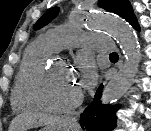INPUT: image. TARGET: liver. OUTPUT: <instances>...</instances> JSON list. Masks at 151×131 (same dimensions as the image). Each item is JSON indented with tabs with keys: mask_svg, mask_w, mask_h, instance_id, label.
Masks as SVG:
<instances>
[{
	"mask_svg": "<svg viewBox=\"0 0 151 131\" xmlns=\"http://www.w3.org/2000/svg\"><path fill=\"white\" fill-rule=\"evenodd\" d=\"M60 121L59 118L43 113H22L17 115L9 125V131H26L40 126H48Z\"/></svg>",
	"mask_w": 151,
	"mask_h": 131,
	"instance_id": "liver-1",
	"label": "liver"
}]
</instances>
